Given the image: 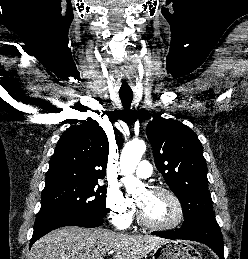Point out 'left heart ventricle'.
<instances>
[{"mask_svg":"<svg viewBox=\"0 0 248 259\" xmlns=\"http://www.w3.org/2000/svg\"><path fill=\"white\" fill-rule=\"evenodd\" d=\"M137 203L145 219L153 224H168L176 218V206L166 194L146 190L139 196Z\"/></svg>","mask_w":248,"mask_h":259,"instance_id":"obj_1","label":"left heart ventricle"}]
</instances>
